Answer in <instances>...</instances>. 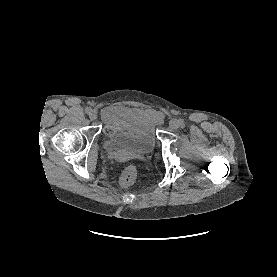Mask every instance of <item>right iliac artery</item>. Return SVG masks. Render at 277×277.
<instances>
[{"mask_svg":"<svg viewBox=\"0 0 277 277\" xmlns=\"http://www.w3.org/2000/svg\"><path fill=\"white\" fill-rule=\"evenodd\" d=\"M91 111H92V109H91V108H89V107H87V108L85 109V112H86L87 114H90V113H91Z\"/></svg>","mask_w":277,"mask_h":277,"instance_id":"1","label":"right iliac artery"}]
</instances>
